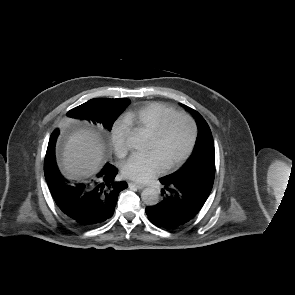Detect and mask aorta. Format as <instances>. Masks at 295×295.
<instances>
[{
  "instance_id": "762f6f07",
  "label": "aorta",
  "mask_w": 295,
  "mask_h": 295,
  "mask_svg": "<svg viewBox=\"0 0 295 295\" xmlns=\"http://www.w3.org/2000/svg\"><path fill=\"white\" fill-rule=\"evenodd\" d=\"M127 144L133 149L140 150L145 146V139L134 133L128 138ZM141 199L148 206L156 205L159 202V192L155 188H145L141 193Z\"/></svg>"
}]
</instances>
